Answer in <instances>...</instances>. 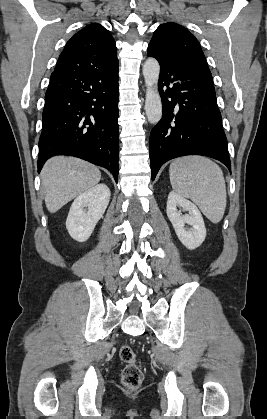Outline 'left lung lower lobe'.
Segmentation results:
<instances>
[{
  "label": "left lung lower lobe",
  "mask_w": 267,
  "mask_h": 419,
  "mask_svg": "<svg viewBox=\"0 0 267 419\" xmlns=\"http://www.w3.org/2000/svg\"><path fill=\"white\" fill-rule=\"evenodd\" d=\"M158 60L163 116L150 134L152 180L167 161L185 155H204L231 170L228 143L216 102L211 72L195 66Z\"/></svg>",
  "instance_id": "0a47b994"
}]
</instances>
